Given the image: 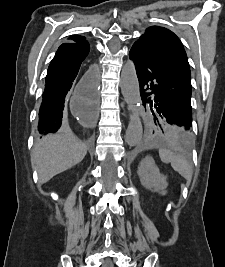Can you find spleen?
I'll list each match as a JSON object with an SVG mask.
<instances>
[{"mask_svg":"<svg viewBox=\"0 0 225 267\" xmlns=\"http://www.w3.org/2000/svg\"><path fill=\"white\" fill-rule=\"evenodd\" d=\"M159 156L162 162L166 164L170 163L176 172H178L187 181H191L193 171L189 162L185 158L163 148L159 149Z\"/></svg>","mask_w":225,"mask_h":267,"instance_id":"obj_1","label":"spleen"}]
</instances>
